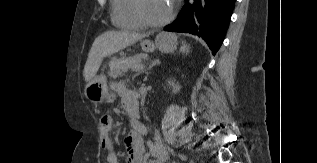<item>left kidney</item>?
Segmentation results:
<instances>
[{
    "label": "left kidney",
    "mask_w": 317,
    "mask_h": 163,
    "mask_svg": "<svg viewBox=\"0 0 317 163\" xmlns=\"http://www.w3.org/2000/svg\"><path fill=\"white\" fill-rule=\"evenodd\" d=\"M168 85H169V86H172V88H173V93L179 92V90H180V88H181L179 84H175V82L172 81V80L168 81Z\"/></svg>",
    "instance_id": "5707ae66"
}]
</instances>
